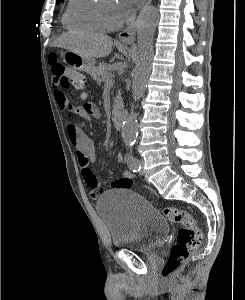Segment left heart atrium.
<instances>
[{"label":"left heart atrium","mask_w":245,"mask_h":300,"mask_svg":"<svg viewBox=\"0 0 245 300\" xmlns=\"http://www.w3.org/2000/svg\"><path fill=\"white\" fill-rule=\"evenodd\" d=\"M141 0H120L118 11L121 16V19H127L130 14L132 13L134 7L140 2Z\"/></svg>","instance_id":"1"}]
</instances>
